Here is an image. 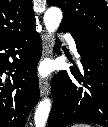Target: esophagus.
Here are the masks:
<instances>
[{
  "mask_svg": "<svg viewBox=\"0 0 108 127\" xmlns=\"http://www.w3.org/2000/svg\"><path fill=\"white\" fill-rule=\"evenodd\" d=\"M42 39H43L42 56L46 57L50 55L52 52L53 41L51 36H49L48 34H43ZM39 87H40L41 96H47L49 94L50 88H49V82L47 79L41 78L39 81Z\"/></svg>",
  "mask_w": 108,
  "mask_h": 127,
  "instance_id": "esophagus-1",
  "label": "esophagus"
}]
</instances>
